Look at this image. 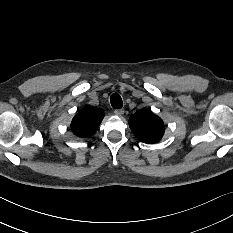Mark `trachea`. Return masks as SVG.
<instances>
[{
    "label": "trachea",
    "mask_w": 233,
    "mask_h": 233,
    "mask_svg": "<svg viewBox=\"0 0 233 233\" xmlns=\"http://www.w3.org/2000/svg\"><path fill=\"white\" fill-rule=\"evenodd\" d=\"M110 102L113 108L118 109L121 108L123 105L122 98L119 94H112L110 97Z\"/></svg>",
    "instance_id": "3493384b"
}]
</instances>
